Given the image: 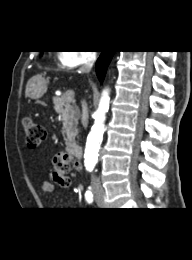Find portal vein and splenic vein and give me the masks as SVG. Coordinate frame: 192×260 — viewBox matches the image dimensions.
Listing matches in <instances>:
<instances>
[{"label": "portal vein and splenic vein", "instance_id": "1", "mask_svg": "<svg viewBox=\"0 0 192 260\" xmlns=\"http://www.w3.org/2000/svg\"><path fill=\"white\" fill-rule=\"evenodd\" d=\"M74 94L73 90H68L64 93L63 97L68 103H70L74 98Z\"/></svg>", "mask_w": 192, "mask_h": 260}]
</instances>
